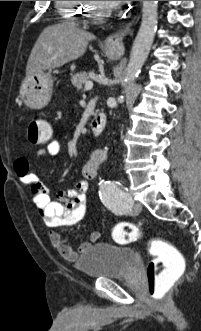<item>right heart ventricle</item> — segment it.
<instances>
[{"mask_svg": "<svg viewBox=\"0 0 201 331\" xmlns=\"http://www.w3.org/2000/svg\"><path fill=\"white\" fill-rule=\"evenodd\" d=\"M86 3L87 1H56V6L62 19L72 24H79Z\"/></svg>", "mask_w": 201, "mask_h": 331, "instance_id": "1", "label": "right heart ventricle"}]
</instances>
